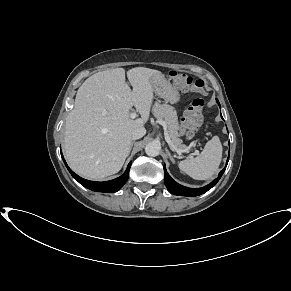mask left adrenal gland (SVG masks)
I'll return each instance as SVG.
<instances>
[{
	"label": "left adrenal gland",
	"mask_w": 291,
	"mask_h": 291,
	"mask_svg": "<svg viewBox=\"0 0 291 291\" xmlns=\"http://www.w3.org/2000/svg\"><path fill=\"white\" fill-rule=\"evenodd\" d=\"M166 153L168 154V156H169L171 162H172V163H175V160L173 159L171 153L169 152V150H168L167 148H166Z\"/></svg>",
	"instance_id": "left-adrenal-gland-1"
}]
</instances>
